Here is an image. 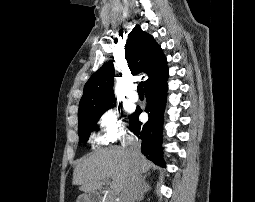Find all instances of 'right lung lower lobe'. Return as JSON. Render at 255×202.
<instances>
[{
	"label": "right lung lower lobe",
	"mask_w": 255,
	"mask_h": 202,
	"mask_svg": "<svg viewBox=\"0 0 255 202\" xmlns=\"http://www.w3.org/2000/svg\"><path fill=\"white\" fill-rule=\"evenodd\" d=\"M167 81V80H166ZM162 82L159 85L145 90L149 120L141 123L138 120L141 109L130 117V130L142 140L141 150L147 159L159 166H164L162 144L163 114L167 98V83Z\"/></svg>",
	"instance_id": "obj_1"
}]
</instances>
